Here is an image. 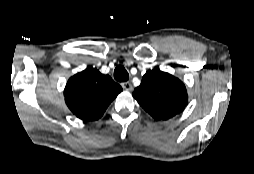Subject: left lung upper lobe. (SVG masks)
Returning <instances> with one entry per match:
<instances>
[{
  "instance_id": "left-lung-upper-lobe-1",
  "label": "left lung upper lobe",
  "mask_w": 254,
  "mask_h": 174,
  "mask_svg": "<svg viewBox=\"0 0 254 174\" xmlns=\"http://www.w3.org/2000/svg\"><path fill=\"white\" fill-rule=\"evenodd\" d=\"M133 97L155 120H167L182 112L188 101L182 81L156 70L146 72Z\"/></svg>"
}]
</instances>
